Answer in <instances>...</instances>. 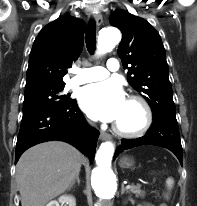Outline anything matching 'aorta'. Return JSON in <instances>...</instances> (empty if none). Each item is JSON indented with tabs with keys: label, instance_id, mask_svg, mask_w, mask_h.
Returning <instances> with one entry per match:
<instances>
[{
	"label": "aorta",
	"instance_id": "obj_1",
	"mask_svg": "<svg viewBox=\"0 0 197 206\" xmlns=\"http://www.w3.org/2000/svg\"><path fill=\"white\" fill-rule=\"evenodd\" d=\"M121 40L120 31L115 27L103 29L98 38V52L103 54L111 51ZM114 154V145L104 142L96 153V167L92 171V187L100 200L111 199L116 190L117 183L111 161Z\"/></svg>",
	"mask_w": 197,
	"mask_h": 206
}]
</instances>
